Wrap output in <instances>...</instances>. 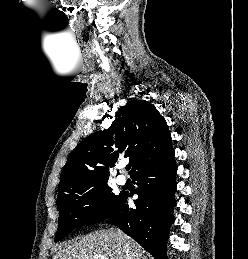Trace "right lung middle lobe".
Masks as SVG:
<instances>
[{
    "instance_id": "dd1d6c3e",
    "label": "right lung middle lobe",
    "mask_w": 248,
    "mask_h": 259,
    "mask_svg": "<svg viewBox=\"0 0 248 259\" xmlns=\"http://www.w3.org/2000/svg\"><path fill=\"white\" fill-rule=\"evenodd\" d=\"M123 192L112 193L107 181L77 187L57 197L59 210L58 231L55 242L63 239L74 228L93 225L112 217L121 202Z\"/></svg>"
}]
</instances>
